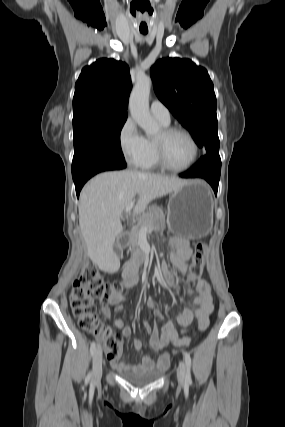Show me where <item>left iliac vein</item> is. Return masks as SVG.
<instances>
[{
    "mask_svg": "<svg viewBox=\"0 0 285 427\" xmlns=\"http://www.w3.org/2000/svg\"><path fill=\"white\" fill-rule=\"evenodd\" d=\"M177 379L180 385H184L185 382V364L183 361H180L177 368Z\"/></svg>",
    "mask_w": 285,
    "mask_h": 427,
    "instance_id": "1",
    "label": "left iliac vein"
}]
</instances>
